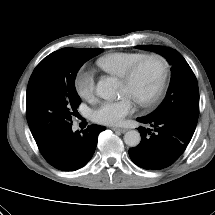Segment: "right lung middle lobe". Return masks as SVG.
I'll return each instance as SVG.
<instances>
[{"label":"right lung middle lobe","instance_id":"dd1d6c3e","mask_svg":"<svg viewBox=\"0 0 215 215\" xmlns=\"http://www.w3.org/2000/svg\"><path fill=\"white\" fill-rule=\"evenodd\" d=\"M103 49L62 48L34 69L27 87L26 116L37 145L71 124L81 100L74 81L79 68Z\"/></svg>","mask_w":215,"mask_h":215}]
</instances>
